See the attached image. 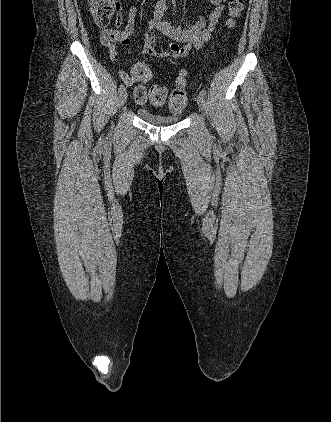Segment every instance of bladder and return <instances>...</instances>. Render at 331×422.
<instances>
[{
    "instance_id": "obj_1",
    "label": "bladder",
    "mask_w": 331,
    "mask_h": 422,
    "mask_svg": "<svg viewBox=\"0 0 331 422\" xmlns=\"http://www.w3.org/2000/svg\"><path fill=\"white\" fill-rule=\"evenodd\" d=\"M137 114L146 122L153 125H171L178 123L180 117L178 115H165L161 113L152 112L145 108H139Z\"/></svg>"
}]
</instances>
